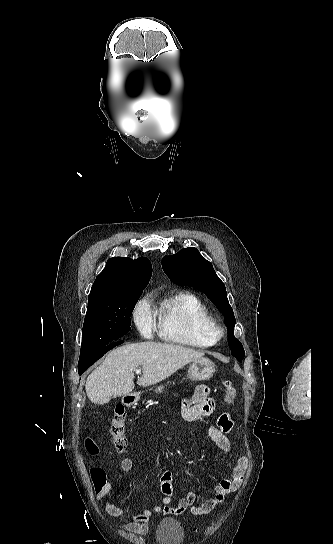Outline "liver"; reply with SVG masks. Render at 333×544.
I'll use <instances>...</instances> for the list:
<instances>
[{"mask_svg": "<svg viewBox=\"0 0 333 544\" xmlns=\"http://www.w3.org/2000/svg\"><path fill=\"white\" fill-rule=\"evenodd\" d=\"M203 356L204 352L175 344L151 341L126 344L111 351L88 376L86 393L92 403L103 405L112 397L127 395L134 389V370L138 366L143 373L137 384L146 387Z\"/></svg>", "mask_w": 333, "mask_h": 544, "instance_id": "liver-1", "label": "liver"}]
</instances>
